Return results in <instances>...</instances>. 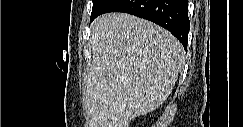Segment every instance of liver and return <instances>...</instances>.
Returning a JSON list of instances; mask_svg holds the SVG:
<instances>
[{
    "label": "liver",
    "mask_w": 243,
    "mask_h": 127,
    "mask_svg": "<svg viewBox=\"0 0 243 127\" xmlns=\"http://www.w3.org/2000/svg\"><path fill=\"white\" fill-rule=\"evenodd\" d=\"M92 64L84 106L89 127H129L172 92L184 63L181 43L164 28L124 14L91 24Z\"/></svg>",
    "instance_id": "liver-1"
}]
</instances>
